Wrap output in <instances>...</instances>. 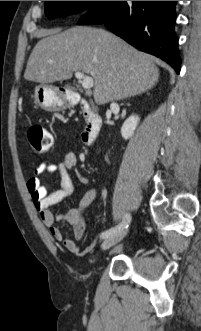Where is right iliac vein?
<instances>
[{
  "label": "right iliac vein",
  "instance_id": "1",
  "mask_svg": "<svg viewBox=\"0 0 201 331\" xmlns=\"http://www.w3.org/2000/svg\"><path fill=\"white\" fill-rule=\"evenodd\" d=\"M127 234V229L120 230L114 235H111L103 241L101 248L102 250H107L111 248L112 246L116 245L118 242H120L125 235Z\"/></svg>",
  "mask_w": 201,
  "mask_h": 331
}]
</instances>
